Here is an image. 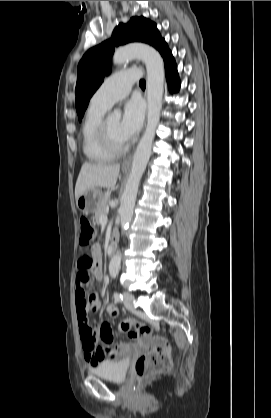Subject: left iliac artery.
<instances>
[{
    "label": "left iliac artery",
    "instance_id": "1",
    "mask_svg": "<svg viewBox=\"0 0 271 418\" xmlns=\"http://www.w3.org/2000/svg\"><path fill=\"white\" fill-rule=\"evenodd\" d=\"M113 296H114V299H115V301H116V302H121V301H123V296H122V294H121V293L114 292Z\"/></svg>",
    "mask_w": 271,
    "mask_h": 418
}]
</instances>
